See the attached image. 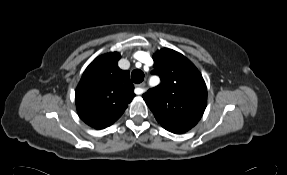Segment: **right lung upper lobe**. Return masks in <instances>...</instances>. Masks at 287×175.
Returning a JSON list of instances; mask_svg holds the SVG:
<instances>
[{"label": "right lung upper lobe", "mask_w": 287, "mask_h": 175, "mask_svg": "<svg viewBox=\"0 0 287 175\" xmlns=\"http://www.w3.org/2000/svg\"><path fill=\"white\" fill-rule=\"evenodd\" d=\"M120 54L96 58L84 71L75 101L80 118L95 129L112 125L121 117L135 94L127 70L118 67Z\"/></svg>", "instance_id": "cb5924a9"}]
</instances>
